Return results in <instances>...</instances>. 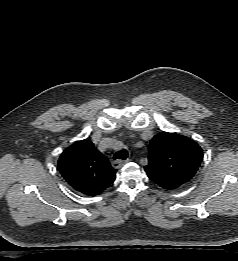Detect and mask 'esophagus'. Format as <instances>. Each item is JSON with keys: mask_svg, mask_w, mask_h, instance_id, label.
Returning <instances> with one entry per match:
<instances>
[{"mask_svg": "<svg viewBox=\"0 0 238 261\" xmlns=\"http://www.w3.org/2000/svg\"><path fill=\"white\" fill-rule=\"evenodd\" d=\"M129 161V159H126L125 161H123V160H121V159H118V160H115L113 163H112V166H113V168H115V169H119V168H121L122 166H123V164L125 163V162H128Z\"/></svg>", "mask_w": 238, "mask_h": 261, "instance_id": "1", "label": "esophagus"}]
</instances>
